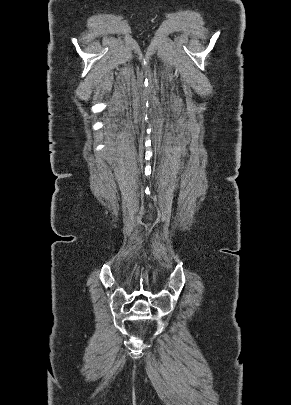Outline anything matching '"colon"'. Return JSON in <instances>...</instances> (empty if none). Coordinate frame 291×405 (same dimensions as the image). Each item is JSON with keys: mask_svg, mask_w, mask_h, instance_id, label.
I'll return each mask as SVG.
<instances>
[{"mask_svg": "<svg viewBox=\"0 0 291 405\" xmlns=\"http://www.w3.org/2000/svg\"><path fill=\"white\" fill-rule=\"evenodd\" d=\"M146 332V330H143V332L142 333H145Z\"/></svg>", "mask_w": 291, "mask_h": 405, "instance_id": "colon-1", "label": "colon"}]
</instances>
